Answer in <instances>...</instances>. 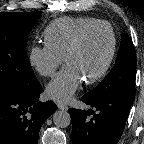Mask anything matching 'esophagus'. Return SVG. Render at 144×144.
Listing matches in <instances>:
<instances>
[{"label":"esophagus","mask_w":144,"mask_h":144,"mask_svg":"<svg viewBox=\"0 0 144 144\" xmlns=\"http://www.w3.org/2000/svg\"><path fill=\"white\" fill-rule=\"evenodd\" d=\"M57 107L61 110H64V111L68 110V107L65 104L61 103V102L57 103Z\"/></svg>","instance_id":"1"}]
</instances>
